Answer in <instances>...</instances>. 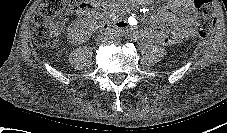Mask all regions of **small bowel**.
Returning <instances> with one entry per match:
<instances>
[{"instance_id": "obj_1", "label": "small bowel", "mask_w": 227, "mask_h": 133, "mask_svg": "<svg viewBox=\"0 0 227 133\" xmlns=\"http://www.w3.org/2000/svg\"><path fill=\"white\" fill-rule=\"evenodd\" d=\"M141 1L146 3L148 0ZM132 18L119 21L132 38H143L160 44L179 43L196 30L193 0H167V5L151 17V26L144 30L136 29L137 20Z\"/></svg>"}]
</instances>
